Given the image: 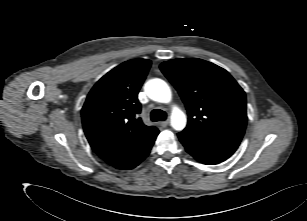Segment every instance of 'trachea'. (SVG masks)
<instances>
[{"label":"trachea","instance_id":"obj_1","mask_svg":"<svg viewBox=\"0 0 307 221\" xmlns=\"http://www.w3.org/2000/svg\"><path fill=\"white\" fill-rule=\"evenodd\" d=\"M151 120L156 122V121H163L166 120L167 114L165 111H162L160 109H154L151 114Z\"/></svg>","mask_w":307,"mask_h":221}]
</instances>
